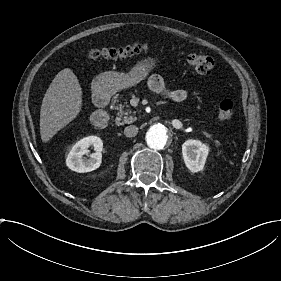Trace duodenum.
I'll return each mask as SVG.
<instances>
[{
  "instance_id": "1",
  "label": "duodenum",
  "mask_w": 281,
  "mask_h": 281,
  "mask_svg": "<svg viewBox=\"0 0 281 281\" xmlns=\"http://www.w3.org/2000/svg\"><path fill=\"white\" fill-rule=\"evenodd\" d=\"M109 100V94L105 90L95 91L93 101L97 110L92 115V123L98 128H105L109 123V114L106 110Z\"/></svg>"
}]
</instances>
